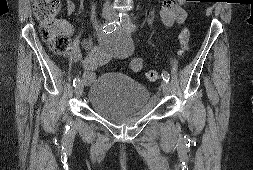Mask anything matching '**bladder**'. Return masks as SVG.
<instances>
[{
    "instance_id": "bladder-1",
    "label": "bladder",
    "mask_w": 253,
    "mask_h": 170,
    "mask_svg": "<svg viewBox=\"0 0 253 170\" xmlns=\"http://www.w3.org/2000/svg\"><path fill=\"white\" fill-rule=\"evenodd\" d=\"M150 89L121 72H104L89 86L88 104L102 118L116 124L143 115L150 103Z\"/></svg>"
}]
</instances>
